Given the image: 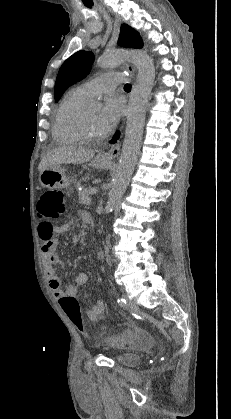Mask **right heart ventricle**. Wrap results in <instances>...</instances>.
Returning a JSON list of instances; mask_svg holds the SVG:
<instances>
[{
  "instance_id": "obj_1",
  "label": "right heart ventricle",
  "mask_w": 231,
  "mask_h": 419,
  "mask_svg": "<svg viewBox=\"0 0 231 419\" xmlns=\"http://www.w3.org/2000/svg\"><path fill=\"white\" fill-rule=\"evenodd\" d=\"M89 99L78 88L63 98L56 110L52 127V135L56 142L73 145L83 141L75 129L74 122Z\"/></svg>"
}]
</instances>
